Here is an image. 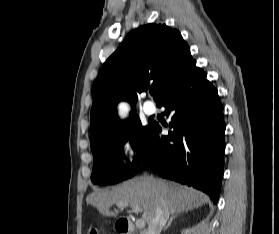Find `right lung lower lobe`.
I'll use <instances>...</instances> for the list:
<instances>
[{"label":"right lung lower lobe","mask_w":279,"mask_h":234,"mask_svg":"<svg viewBox=\"0 0 279 234\" xmlns=\"http://www.w3.org/2000/svg\"><path fill=\"white\" fill-rule=\"evenodd\" d=\"M195 64L157 104L171 117L172 131L161 136V126L152 123L142 161L160 176L202 190L217 203L224 168L223 106Z\"/></svg>","instance_id":"1"}]
</instances>
